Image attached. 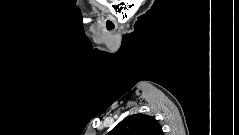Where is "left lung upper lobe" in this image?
<instances>
[{
    "label": "left lung upper lobe",
    "instance_id": "obj_1",
    "mask_svg": "<svg viewBox=\"0 0 239 135\" xmlns=\"http://www.w3.org/2000/svg\"><path fill=\"white\" fill-rule=\"evenodd\" d=\"M108 135H163V131L154 117L133 114L123 119Z\"/></svg>",
    "mask_w": 239,
    "mask_h": 135
}]
</instances>
